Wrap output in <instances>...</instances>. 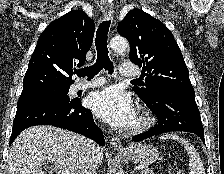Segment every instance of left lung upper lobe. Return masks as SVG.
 <instances>
[{"label": "left lung upper lobe", "mask_w": 224, "mask_h": 174, "mask_svg": "<svg viewBox=\"0 0 224 174\" xmlns=\"http://www.w3.org/2000/svg\"><path fill=\"white\" fill-rule=\"evenodd\" d=\"M118 32L130 44V60L142 67L144 87H134L143 101L159 90H194L189 71L172 33L158 19L138 9L127 13Z\"/></svg>", "instance_id": "left-lung-upper-lobe-1"}]
</instances>
